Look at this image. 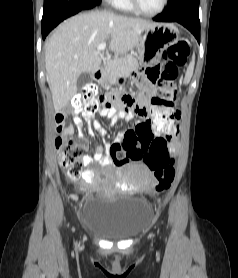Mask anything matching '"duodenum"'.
<instances>
[{
	"label": "duodenum",
	"instance_id": "410a0bca",
	"mask_svg": "<svg viewBox=\"0 0 238 278\" xmlns=\"http://www.w3.org/2000/svg\"><path fill=\"white\" fill-rule=\"evenodd\" d=\"M105 73L102 68H98L94 72V79L98 82H102L104 80Z\"/></svg>",
	"mask_w": 238,
	"mask_h": 278
}]
</instances>
